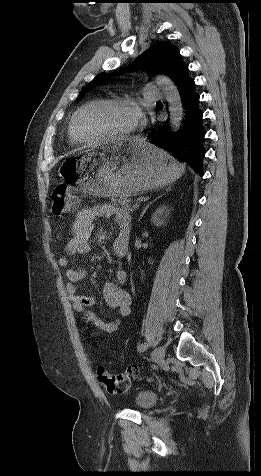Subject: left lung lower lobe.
Masks as SVG:
<instances>
[{
  "mask_svg": "<svg viewBox=\"0 0 261 476\" xmlns=\"http://www.w3.org/2000/svg\"><path fill=\"white\" fill-rule=\"evenodd\" d=\"M185 110L183 126L177 132L171 130L169 120L149 133V142L159 147L180 162H186L200 175L205 149L202 145L205 130L202 126L203 112L199 109V95L195 91V82L189 76L188 66L175 81Z\"/></svg>",
  "mask_w": 261,
  "mask_h": 476,
  "instance_id": "left-lung-lower-lobe-1",
  "label": "left lung lower lobe"
}]
</instances>
